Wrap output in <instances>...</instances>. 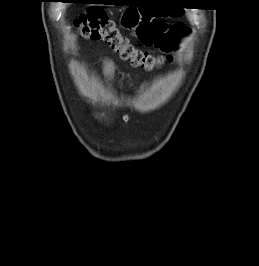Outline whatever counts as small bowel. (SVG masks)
Masks as SVG:
<instances>
[{
  "label": "small bowel",
  "instance_id": "c3829d8e",
  "mask_svg": "<svg viewBox=\"0 0 259 266\" xmlns=\"http://www.w3.org/2000/svg\"><path fill=\"white\" fill-rule=\"evenodd\" d=\"M115 70V64L112 59L105 57L102 60V74L105 81L111 84L113 81V74Z\"/></svg>",
  "mask_w": 259,
  "mask_h": 266
}]
</instances>
